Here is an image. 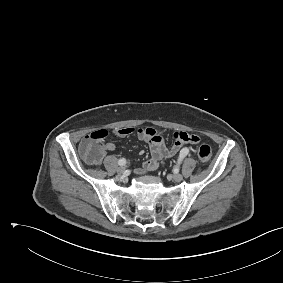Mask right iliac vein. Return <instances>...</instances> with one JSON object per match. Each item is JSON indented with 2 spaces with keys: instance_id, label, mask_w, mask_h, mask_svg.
Segmentation results:
<instances>
[{
  "instance_id": "right-iliac-vein-1",
  "label": "right iliac vein",
  "mask_w": 283,
  "mask_h": 283,
  "mask_svg": "<svg viewBox=\"0 0 283 283\" xmlns=\"http://www.w3.org/2000/svg\"><path fill=\"white\" fill-rule=\"evenodd\" d=\"M117 173H118L119 175L124 174V173H125V168H124V167H119V168L117 169Z\"/></svg>"
}]
</instances>
